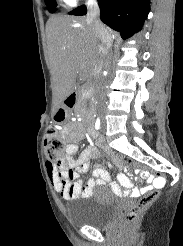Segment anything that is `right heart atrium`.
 I'll use <instances>...</instances> for the list:
<instances>
[{"instance_id":"obj_1","label":"right heart atrium","mask_w":183,"mask_h":246,"mask_svg":"<svg viewBox=\"0 0 183 246\" xmlns=\"http://www.w3.org/2000/svg\"><path fill=\"white\" fill-rule=\"evenodd\" d=\"M62 1L69 6H75L80 0H62Z\"/></svg>"}]
</instances>
